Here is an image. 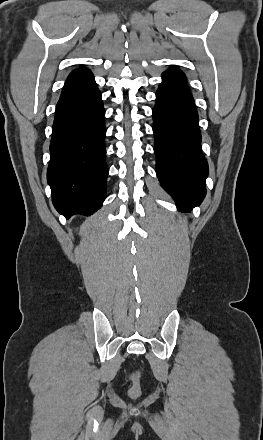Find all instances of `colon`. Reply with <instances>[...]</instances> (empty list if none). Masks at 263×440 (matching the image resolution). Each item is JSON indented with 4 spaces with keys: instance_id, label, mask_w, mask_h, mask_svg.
<instances>
[{
    "instance_id": "5ec220e1",
    "label": "colon",
    "mask_w": 263,
    "mask_h": 440,
    "mask_svg": "<svg viewBox=\"0 0 263 440\" xmlns=\"http://www.w3.org/2000/svg\"><path fill=\"white\" fill-rule=\"evenodd\" d=\"M137 393V390L136 389H133L132 390V395H135Z\"/></svg>"
}]
</instances>
